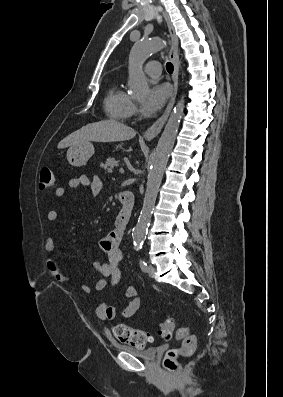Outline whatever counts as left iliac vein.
<instances>
[{
  "mask_svg": "<svg viewBox=\"0 0 283 397\" xmlns=\"http://www.w3.org/2000/svg\"><path fill=\"white\" fill-rule=\"evenodd\" d=\"M148 274H149V276L150 277H154V274H155V268H154V266L153 265H149L148 266Z\"/></svg>",
  "mask_w": 283,
  "mask_h": 397,
  "instance_id": "1",
  "label": "left iliac vein"
}]
</instances>
